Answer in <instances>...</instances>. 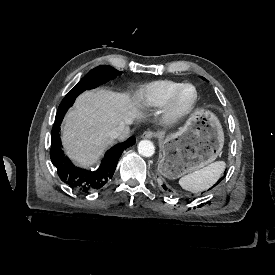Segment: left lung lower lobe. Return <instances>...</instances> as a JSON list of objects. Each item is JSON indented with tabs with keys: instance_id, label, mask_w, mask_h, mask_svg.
Returning <instances> with one entry per match:
<instances>
[{
	"instance_id": "0a47b994",
	"label": "left lung lower lobe",
	"mask_w": 275,
	"mask_h": 275,
	"mask_svg": "<svg viewBox=\"0 0 275 275\" xmlns=\"http://www.w3.org/2000/svg\"><path fill=\"white\" fill-rule=\"evenodd\" d=\"M225 176H226V171H225V173H224V176H223L222 178H220V179L217 181V183H216L213 187H215L217 184H219L220 181H221L222 179H224ZM162 187H163L164 190H167V189H168L167 186H166L165 184H163ZM213 187H212V188H213ZM212 188H210V189H212ZM169 191H170V190H169Z\"/></svg>"
}]
</instances>
